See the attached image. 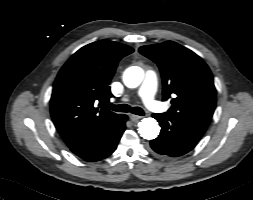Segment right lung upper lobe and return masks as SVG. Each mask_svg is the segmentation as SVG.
Here are the masks:
<instances>
[{"label": "right lung upper lobe", "instance_id": "right-lung-upper-lobe-1", "mask_svg": "<svg viewBox=\"0 0 253 200\" xmlns=\"http://www.w3.org/2000/svg\"><path fill=\"white\" fill-rule=\"evenodd\" d=\"M133 51L121 43L96 41L79 49L58 73L50 111L69 147L97 136L122 117L101 105L112 97L109 84L118 61Z\"/></svg>", "mask_w": 253, "mask_h": 200}]
</instances>
